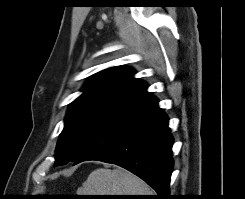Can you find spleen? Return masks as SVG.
Returning <instances> with one entry per match:
<instances>
[{
  "label": "spleen",
  "instance_id": "spleen-1",
  "mask_svg": "<svg viewBox=\"0 0 245 199\" xmlns=\"http://www.w3.org/2000/svg\"><path fill=\"white\" fill-rule=\"evenodd\" d=\"M77 193L78 195H154L145 182L121 168L94 170Z\"/></svg>",
  "mask_w": 245,
  "mask_h": 199
}]
</instances>
